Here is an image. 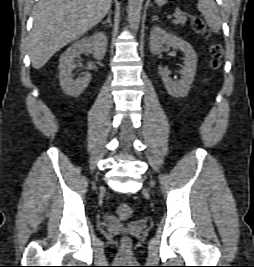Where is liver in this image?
I'll return each mask as SVG.
<instances>
[{
  "mask_svg": "<svg viewBox=\"0 0 254 267\" xmlns=\"http://www.w3.org/2000/svg\"><path fill=\"white\" fill-rule=\"evenodd\" d=\"M111 0H39L30 32L32 66L41 69L65 45L97 25Z\"/></svg>",
  "mask_w": 254,
  "mask_h": 267,
  "instance_id": "6515ba94",
  "label": "liver"
}]
</instances>
